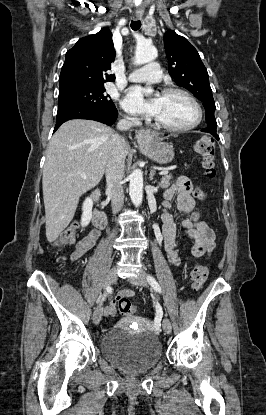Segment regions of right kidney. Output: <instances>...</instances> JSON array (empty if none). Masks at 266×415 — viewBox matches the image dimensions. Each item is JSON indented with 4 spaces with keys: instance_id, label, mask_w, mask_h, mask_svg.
I'll return each instance as SVG.
<instances>
[{
    "instance_id": "ca27d5eb",
    "label": "right kidney",
    "mask_w": 266,
    "mask_h": 415,
    "mask_svg": "<svg viewBox=\"0 0 266 415\" xmlns=\"http://www.w3.org/2000/svg\"><path fill=\"white\" fill-rule=\"evenodd\" d=\"M93 201L90 198H86L82 206L81 225L83 227L88 226L92 218Z\"/></svg>"
}]
</instances>
